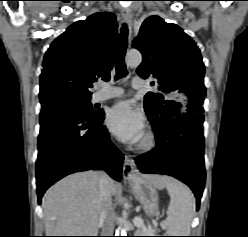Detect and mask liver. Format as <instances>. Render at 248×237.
I'll list each match as a JSON object with an SVG mask.
<instances>
[{
	"label": "liver",
	"instance_id": "1",
	"mask_svg": "<svg viewBox=\"0 0 248 237\" xmlns=\"http://www.w3.org/2000/svg\"><path fill=\"white\" fill-rule=\"evenodd\" d=\"M163 189L170 179L160 175H142ZM100 173L87 171L69 175L47 190L42 199L46 236H93L99 220ZM112 195L120 191L110 179Z\"/></svg>",
	"mask_w": 248,
	"mask_h": 237
}]
</instances>
